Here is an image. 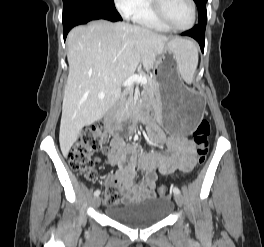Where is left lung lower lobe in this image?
Listing matches in <instances>:
<instances>
[{
	"label": "left lung lower lobe",
	"instance_id": "obj_1",
	"mask_svg": "<svg viewBox=\"0 0 264 247\" xmlns=\"http://www.w3.org/2000/svg\"><path fill=\"white\" fill-rule=\"evenodd\" d=\"M205 29L206 24L198 23L194 28L189 31L181 33L183 36H190L197 40L200 44L202 52L204 51V44H205Z\"/></svg>",
	"mask_w": 264,
	"mask_h": 247
}]
</instances>
